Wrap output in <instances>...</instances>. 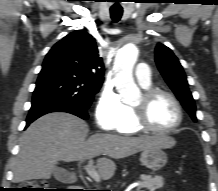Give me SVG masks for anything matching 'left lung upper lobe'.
I'll return each mask as SVG.
<instances>
[{"label": "left lung upper lobe", "instance_id": "1", "mask_svg": "<svg viewBox=\"0 0 218 191\" xmlns=\"http://www.w3.org/2000/svg\"><path fill=\"white\" fill-rule=\"evenodd\" d=\"M155 60L165 81L180 100L185 110L190 114L193 121L196 122L195 102L188 88L187 78L178 58L170 48L163 44H158L155 49Z\"/></svg>", "mask_w": 218, "mask_h": 191}]
</instances>
